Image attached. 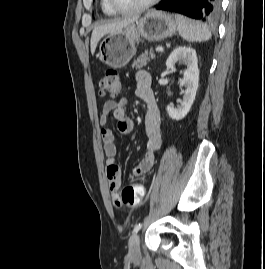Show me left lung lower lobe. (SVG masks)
Wrapping results in <instances>:
<instances>
[{
    "label": "left lung lower lobe",
    "instance_id": "1",
    "mask_svg": "<svg viewBox=\"0 0 265 269\" xmlns=\"http://www.w3.org/2000/svg\"><path fill=\"white\" fill-rule=\"evenodd\" d=\"M158 10L177 12L205 22L214 21L220 12V0H166Z\"/></svg>",
    "mask_w": 265,
    "mask_h": 269
}]
</instances>
